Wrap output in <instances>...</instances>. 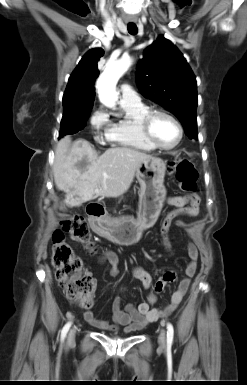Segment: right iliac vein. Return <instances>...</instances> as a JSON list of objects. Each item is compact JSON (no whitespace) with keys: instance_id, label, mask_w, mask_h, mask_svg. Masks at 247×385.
<instances>
[{"instance_id":"63e3f726","label":"right iliac vein","mask_w":247,"mask_h":385,"mask_svg":"<svg viewBox=\"0 0 247 385\" xmlns=\"http://www.w3.org/2000/svg\"><path fill=\"white\" fill-rule=\"evenodd\" d=\"M75 333H76V329H75V328H73V329L70 330L69 335H68V341H69V342H71V341L74 340V338H75Z\"/></svg>"}]
</instances>
